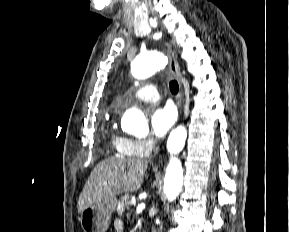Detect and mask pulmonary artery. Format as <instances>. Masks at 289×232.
Wrapping results in <instances>:
<instances>
[{"label":"pulmonary artery","instance_id":"e3ab8cb5","mask_svg":"<svg viewBox=\"0 0 289 232\" xmlns=\"http://www.w3.org/2000/svg\"><path fill=\"white\" fill-rule=\"evenodd\" d=\"M160 96L158 90L153 85H146L141 87L134 94L133 99L138 101L155 102L159 100Z\"/></svg>","mask_w":289,"mask_h":232}]
</instances>
